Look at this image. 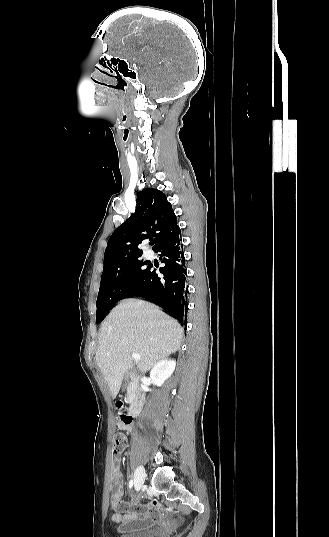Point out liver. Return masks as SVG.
Here are the masks:
<instances>
[{
	"mask_svg": "<svg viewBox=\"0 0 329 537\" xmlns=\"http://www.w3.org/2000/svg\"><path fill=\"white\" fill-rule=\"evenodd\" d=\"M184 330L180 324L146 301L127 299L112 309L101 325L96 361L116 398L123 379L139 354V369L145 373L179 350Z\"/></svg>",
	"mask_w": 329,
	"mask_h": 537,
	"instance_id": "6515ba94",
	"label": "liver"
}]
</instances>
